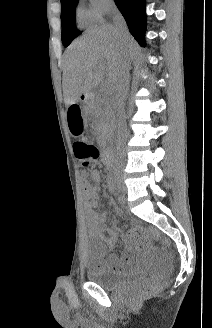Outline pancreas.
Returning <instances> with one entry per match:
<instances>
[{
  "label": "pancreas",
  "mask_w": 212,
  "mask_h": 328,
  "mask_svg": "<svg viewBox=\"0 0 212 328\" xmlns=\"http://www.w3.org/2000/svg\"><path fill=\"white\" fill-rule=\"evenodd\" d=\"M104 101L97 98L96 102L93 104L92 114L97 121V137L99 140L106 139L111 133V119L108 113L100 108V105Z\"/></svg>",
  "instance_id": "cf45deb5"
}]
</instances>
